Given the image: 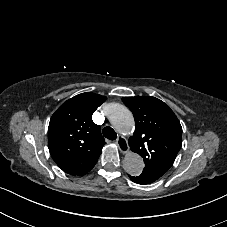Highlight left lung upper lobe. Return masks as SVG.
Returning a JSON list of instances; mask_svg holds the SVG:
<instances>
[{"mask_svg":"<svg viewBox=\"0 0 227 227\" xmlns=\"http://www.w3.org/2000/svg\"><path fill=\"white\" fill-rule=\"evenodd\" d=\"M122 101L135 119L130 149L144 160L142 174L157 180L172 166L181 148V124L170 107L155 97H123Z\"/></svg>","mask_w":227,"mask_h":227,"instance_id":"left-lung-upper-lobe-1","label":"left lung upper lobe"}]
</instances>
